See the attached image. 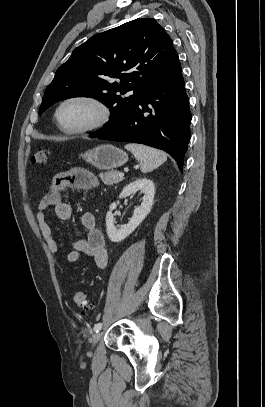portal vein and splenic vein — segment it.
<instances>
[{
	"label": "portal vein and splenic vein",
	"mask_w": 265,
	"mask_h": 407,
	"mask_svg": "<svg viewBox=\"0 0 265 407\" xmlns=\"http://www.w3.org/2000/svg\"><path fill=\"white\" fill-rule=\"evenodd\" d=\"M118 175L120 178H122L124 176V173L120 172Z\"/></svg>",
	"instance_id": "1"
}]
</instances>
